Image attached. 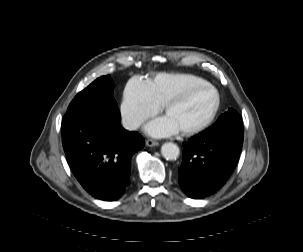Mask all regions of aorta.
Instances as JSON below:
<instances>
[{"instance_id": "762f6f07", "label": "aorta", "mask_w": 303, "mask_h": 252, "mask_svg": "<svg viewBox=\"0 0 303 252\" xmlns=\"http://www.w3.org/2000/svg\"><path fill=\"white\" fill-rule=\"evenodd\" d=\"M161 154L167 160H176L179 157L180 150L176 144L167 142L162 145Z\"/></svg>"}]
</instances>
